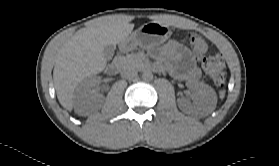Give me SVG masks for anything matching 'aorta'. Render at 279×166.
<instances>
[{"instance_id": "762f6f07", "label": "aorta", "mask_w": 279, "mask_h": 166, "mask_svg": "<svg viewBox=\"0 0 279 166\" xmlns=\"http://www.w3.org/2000/svg\"><path fill=\"white\" fill-rule=\"evenodd\" d=\"M142 79L144 80V81H151L152 79H153V74H152V72L151 71H149V70H146V71H144L143 72V74H142Z\"/></svg>"}]
</instances>
